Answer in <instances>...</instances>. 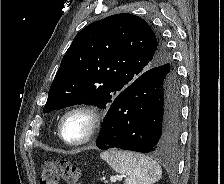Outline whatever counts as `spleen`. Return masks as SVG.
Listing matches in <instances>:
<instances>
[{
    "label": "spleen",
    "mask_w": 224,
    "mask_h": 184,
    "mask_svg": "<svg viewBox=\"0 0 224 184\" xmlns=\"http://www.w3.org/2000/svg\"><path fill=\"white\" fill-rule=\"evenodd\" d=\"M116 172L125 174V184H153L162 177V169L152 159L139 153L111 150L100 154Z\"/></svg>",
    "instance_id": "3e777b00"
}]
</instances>
